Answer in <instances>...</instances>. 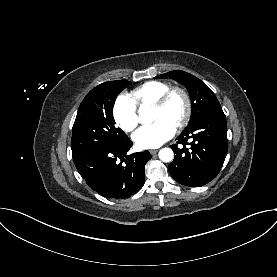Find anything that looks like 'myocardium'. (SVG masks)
<instances>
[{
	"label": "myocardium",
	"mask_w": 277,
	"mask_h": 277,
	"mask_svg": "<svg viewBox=\"0 0 277 277\" xmlns=\"http://www.w3.org/2000/svg\"><path fill=\"white\" fill-rule=\"evenodd\" d=\"M174 95H180L184 100V112L176 124V127L182 128L188 123L192 113V100L189 93L184 88H169L152 104V107L156 109H164Z\"/></svg>",
	"instance_id": "f54148a6"
}]
</instances>
